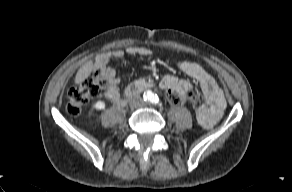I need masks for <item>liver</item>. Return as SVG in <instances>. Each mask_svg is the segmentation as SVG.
I'll return each instance as SVG.
<instances>
[{"instance_id": "liver-1", "label": "liver", "mask_w": 292, "mask_h": 192, "mask_svg": "<svg viewBox=\"0 0 292 192\" xmlns=\"http://www.w3.org/2000/svg\"><path fill=\"white\" fill-rule=\"evenodd\" d=\"M93 70V62L88 61L77 71L75 76V84H81L84 82L91 74Z\"/></svg>"}]
</instances>
